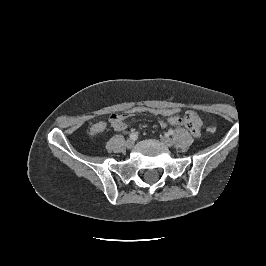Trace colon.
<instances>
[{
    "label": "colon",
    "mask_w": 266,
    "mask_h": 266,
    "mask_svg": "<svg viewBox=\"0 0 266 266\" xmlns=\"http://www.w3.org/2000/svg\"><path fill=\"white\" fill-rule=\"evenodd\" d=\"M179 112L180 108L178 107H150V106L136 105L122 114H112L110 116V122H113L118 118L125 119L139 114H150L154 116L171 117L178 115ZM207 131L210 133H214L216 131V127L210 126L207 128Z\"/></svg>",
    "instance_id": "obj_1"
}]
</instances>
